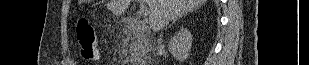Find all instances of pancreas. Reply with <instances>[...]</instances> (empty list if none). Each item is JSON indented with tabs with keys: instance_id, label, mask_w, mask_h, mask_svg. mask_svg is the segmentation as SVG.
I'll return each instance as SVG.
<instances>
[{
	"instance_id": "obj_1",
	"label": "pancreas",
	"mask_w": 309,
	"mask_h": 65,
	"mask_svg": "<svg viewBox=\"0 0 309 65\" xmlns=\"http://www.w3.org/2000/svg\"><path fill=\"white\" fill-rule=\"evenodd\" d=\"M149 48L150 42L148 39L141 35L135 36L130 47V59L134 60L135 58H138L144 51L149 50Z\"/></svg>"
}]
</instances>
